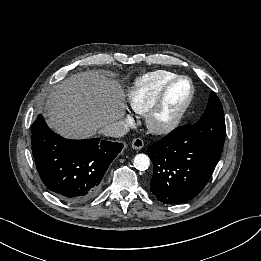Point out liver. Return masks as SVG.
<instances>
[{
    "instance_id": "1",
    "label": "liver",
    "mask_w": 261,
    "mask_h": 261,
    "mask_svg": "<svg viewBox=\"0 0 261 261\" xmlns=\"http://www.w3.org/2000/svg\"><path fill=\"white\" fill-rule=\"evenodd\" d=\"M124 109L119 84L99 71H87L55 86L46 103V121L64 137L89 138L121 119Z\"/></svg>"
}]
</instances>
